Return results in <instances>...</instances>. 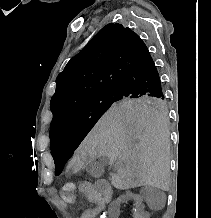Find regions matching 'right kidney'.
Listing matches in <instances>:
<instances>
[{"label": "right kidney", "instance_id": "right-kidney-1", "mask_svg": "<svg viewBox=\"0 0 211 218\" xmlns=\"http://www.w3.org/2000/svg\"><path fill=\"white\" fill-rule=\"evenodd\" d=\"M131 206L130 209H126V214L128 218H144L141 215L142 211H144V206H140V198L139 193H119L118 201L114 202L115 206H110V209H107V214H109V218H120L121 217V206ZM139 206V207H138Z\"/></svg>", "mask_w": 211, "mask_h": 218}]
</instances>
